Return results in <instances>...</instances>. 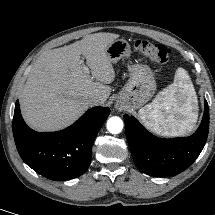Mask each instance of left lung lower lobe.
<instances>
[{"instance_id":"1","label":"left lung lower lobe","mask_w":215,"mask_h":215,"mask_svg":"<svg viewBox=\"0 0 215 215\" xmlns=\"http://www.w3.org/2000/svg\"><path fill=\"white\" fill-rule=\"evenodd\" d=\"M202 122L189 137L162 139L148 132L133 116L124 115L126 137L140 171L156 176H173L186 170L201 153L209 131V109L205 100Z\"/></svg>"}]
</instances>
